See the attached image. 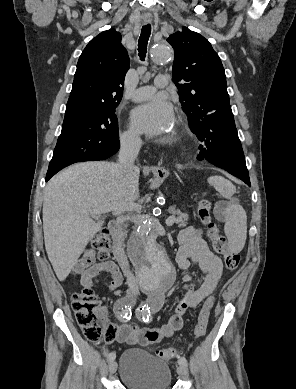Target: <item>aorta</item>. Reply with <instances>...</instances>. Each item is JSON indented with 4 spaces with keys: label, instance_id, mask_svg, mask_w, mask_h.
Masks as SVG:
<instances>
[{
    "label": "aorta",
    "instance_id": "1",
    "mask_svg": "<svg viewBox=\"0 0 296 389\" xmlns=\"http://www.w3.org/2000/svg\"><path fill=\"white\" fill-rule=\"evenodd\" d=\"M150 56L152 62L164 63L172 62L174 53L168 44L159 43L153 46ZM128 253L136 266L140 287L145 292L154 295L172 287L175 269L150 222H142L132 234Z\"/></svg>",
    "mask_w": 296,
    "mask_h": 389
}]
</instances>
